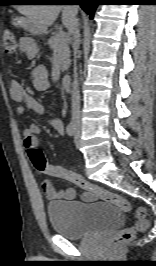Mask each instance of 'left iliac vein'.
<instances>
[{
  "instance_id": "4c4485c4",
  "label": "left iliac vein",
  "mask_w": 156,
  "mask_h": 266,
  "mask_svg": "<svg viewBox=\"0 0 156 266\" xmlns=\"http://www.w3.org/2000/svg\"><path fill=\"white\" fill-rule=\"evenodd\" d=\"M80 133H81V128H80V125L78 124L77 125V129H76V133H75V144L77 147L80 146Z\"/></svg>"
}]
</instances>
